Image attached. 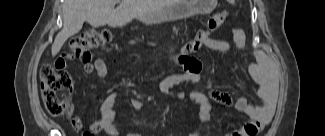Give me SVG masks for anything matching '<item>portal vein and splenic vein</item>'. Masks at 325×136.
Here are the masks:
<instances>
[{
	"instance_id": "obj_1",
	"label": "portal vein and splenic vein",
	"mask_w": 325,
	"mask_h": 136,
	"mask_svg": "<svg viewBox=\"0 0 325 136\" xmlns=\"http://www.w3.org/2000/svg\"><path fill=\"white\" fill-rule=\"evenodd\" d=\"M120 0H116L115 2H119Z\"/></svg>"
}]
</instances>
